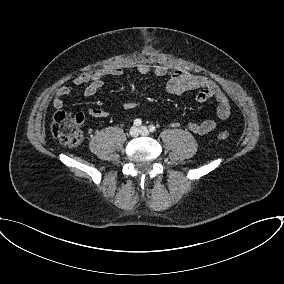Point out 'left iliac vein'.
Returning a JSON list of instances; mask_svg holds the SVG:
<instances>
[{
    "mask_svg": "<svg viewBox=\"0 0 284 284\" xmlns=\"http://www.w3.org/2000/svg\"><path fill=\"white\" fill-rule=\"evenodd\" d=\"M139 132H140L141 135H144V136L149 135V130H148L147 127H145V126H141V127L139 128Z\"/></svg>",
    "mask_w": 284,
    "mask_h": 284,
    "instance_id": "left-iliac-vein-1",
    "label": "left iliac vein"
}]
</instances>
